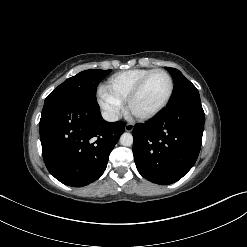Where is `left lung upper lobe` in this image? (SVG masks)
Segmentation results:
<instances>
[{
	"label": "left lung upper lobe",
	"mask_w": 247,
	"mask_h": 247,
	"mask_svg": "<svg viewBox=\"0 0 247 247\" xmlns=\"http://www.w3.org/2000/svg\"><path fill=\"white\" fill-rule=\"evenodd\" d=\"M166 70L172 75L175 85L174 95L169 105L187 99L200 98L197 88L179 70L170 67H166Z\"/></svg>",
	"instance_id": "left-lung-upper-lobe-1"
}]
</instances>
